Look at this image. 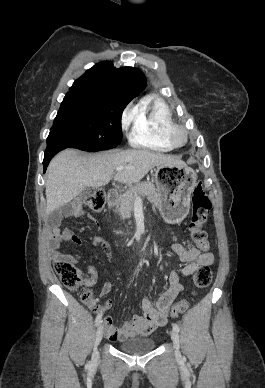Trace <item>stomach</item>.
<instances>
[{"label":"stomach","instance_id":"0dacf381","mask_svg":"<svg viewBox=\"0 0 265 388\" xmlns=\"http://www.w3.org/2000/svg\"><path fill=\"white\" fill-rule=\"evenodd\" d=\"M196 179L194 170L186 165L156 167L154 182L160 195L158 206L166 221L178 223L186 217Z\"/></svg>","mask_w":265,"mask_h":388}]
</instances>
